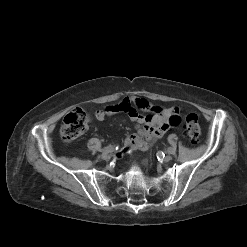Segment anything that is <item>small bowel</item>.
Instances as JSON below:
<instances>
[{
    "label": "small bowel",
    "instance_id": "small-bowel-1",
    "mask_svg": "<svg viewBox=\"0 0 247 247\" xmlns=\"http://www.w3.org/2000/svg\"><path fill=\"white\" fill-rule=\"evenodd\" d=\"M140 111L148 114H142ZM120 112L126 113L136 124L137 133L128 136L124 141L126 150L134 151L146 150L150 143L161 138L170 127L178 126L181 110L178 107L161 108L138 97H126L117 104L97 110L94 118L102 121L107 116Z\"/></svg>",
    "mask_w": 247,
    "mask_h": 247
}]
</instances>
